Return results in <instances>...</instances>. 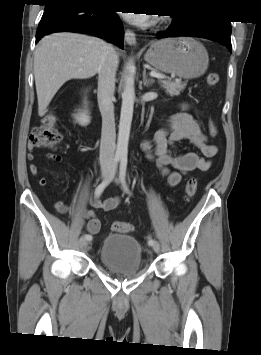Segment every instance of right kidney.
<instances>
[{"instance_id":"right-kidney-1","label":"right kidney","mask_w":261,"mask_h":355,"mask_svg":"<svg viewBox=\"0 0 261 355\" xmlns=\"http://www.w3.org/2000/svg\"><path fill=\"white\" fill-rule=\"evenodd\" d=\"M74 118L82 126H86L90 123V116L85 111L74 115Z\"/></svg>"}]
</instances>
